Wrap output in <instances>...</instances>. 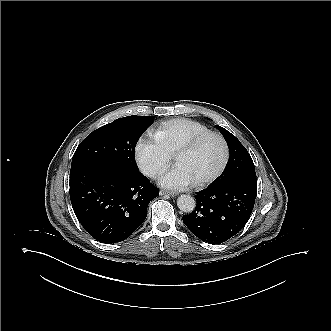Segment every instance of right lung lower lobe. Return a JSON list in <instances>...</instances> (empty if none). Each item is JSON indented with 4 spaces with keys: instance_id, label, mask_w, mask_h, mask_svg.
I'll return each mask as SVG.
<instances>
[{
    "instance_id": "obj_1",
    "label": "right lung lower lobe",
    "mask_w": 331,
    "mask_h": 331,
    "mask_svg": "<svg viewBox=\"0 0 331 331\" xmlns=\"http://www.w3.org/2000/svg\"><path fill=\"white\" fill-rule=\"evenodd\" d=\"M159 189L141 173L126 175L111 166H85L70 172V198L83 228L106 244L127 239L146 219Z\"/></svg>"
}]
</instances>
